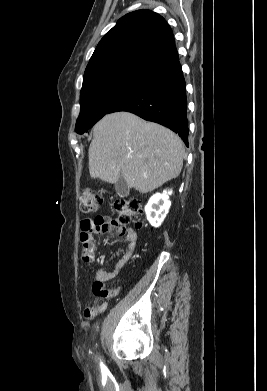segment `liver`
Wrapping results in <instances>:
<instances>
[{"instance_id": "obj_1", "label": "liver", "mask_w": 267, "mask_h": 391, "mask_svg": "<svg viewBox=\"0 0 267 391\" xmlns=\"http://www.w3.org/2000/svg\"><path fill=\"white\" fill-rule=\"evenodd\" d=\"M182 140L171 130L129 112L104 116L93 128L89 172L114 184L123 176L128 187L150 192L179 176Z\"/></svg>"}]
</instances>
